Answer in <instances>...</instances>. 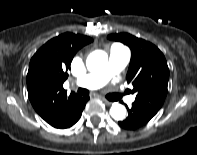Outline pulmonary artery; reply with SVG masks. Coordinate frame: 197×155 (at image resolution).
Here are the masks:
<instances>
[{"mask_svg": "<svg viewBox=\"0 0 197 155\" xmlns=\"http://www.w3.org/2000/svg\"><path fill=\"white\" fill-rule=\"evenodd\" d=\"M129 59V50L121 44H114L111 46L106 67L102 71L89 73L78 78L75 84L87 89H98L118 74L127 65ZM133 101V96L128 98L129 103Z\"/></svg>", "mask_w": 197, "mask_h": 155, "instance_id": "obj_1", "label": "pulmonary artery"}]
</instances>
